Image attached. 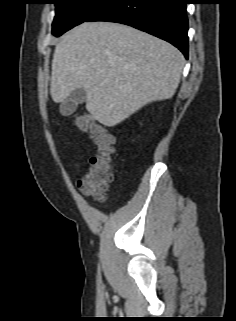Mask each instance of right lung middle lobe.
<instances>
[{"label": "right lung middle lobe", "mask_w": 236, "mask_h": 321, "mask_svg": "<svg viewBox=\"0 0 236 321\" xmlns=\"http://www.w3.org/2000/svg\"><path fill=\"white\" fill-rule=\"evenodd\" d=\"M109 0H54L56 14L52 34L56 37L84 22Z\"/></svg>", "instance_id": "right-lung-middle-lobe-1"}]
</instances>
